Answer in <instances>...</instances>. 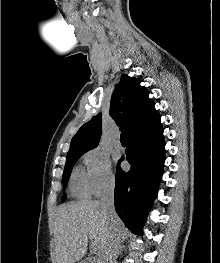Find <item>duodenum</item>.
I'll list each match as a JSON object with an SVG mask.
<instances>
[{"label":"duodenum","instance_id":"410a0bca","mask_svg":"<svg viewBox=\"0 0 220 263\" xmlns=\"http://www.w3.org/2000/svg\"><path fill=\"white\" fill-rule=\"evenodd\" d=\"M80 263H87L86 261H82V262H80Z\"/></svg>","mask_w":220,"mask_h":263}]
</instances>
